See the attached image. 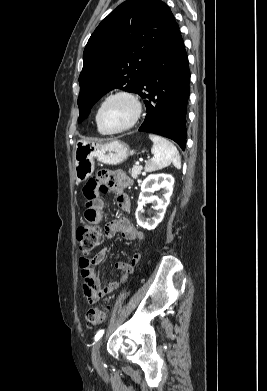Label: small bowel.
<instances>
[{
  "mask_svg": "<svg viewBox=\"0 0 267 391\" xmlns=\"http://www.w3.org/2000/svg\"><path fill=\"white\" fill-rule=\"evenodd\" d=\"M131 184L130 179L118 170L102 171L97 176L90 179L83 188L86 199L84 219L87 224L96 225L103 220L105 203L102 199L103 194H116L117 205L122 211L131 209V201L126 194L125 189ZM120 234L125 240L130 242H140L144 239L143 232L133 226L125 217H118L107 223L104 228V235L111 238ZM107 255V249H102L92 258H80L79 267L82 275V287L88 302L94 303L106 294L117 290L121 282L108 281L102 285L101 280L94 270V267L104 261ZM141 254L135 253L132 257V263L118 261L115 269L123 273L121 281L133 271L134 265L140 260Z\"/></svg>",
  "mask_w": 267,
  "mask_h": 391,
  "instance_id": "obj_1",
  "label": "small bowel"
}]
</instances>
